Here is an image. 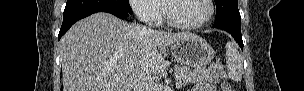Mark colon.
I'll use <instances>...</instances> for the list:
<instances>
[{
	"label": "colon",
	"mask_w": 304,
	"mask_h": 91,
	"mask_svg": "<svg viewBox=\"0 0 304 91\" xmlns=\"http://www.w3.org/2000/svg\"><path fill=\"white\" fill-rule=\"evenodd\" d=\"M223 91H232V88L229 84L225 83L222 88Z\"/></svg>",
	"instance_id": "1"
}]
</instances>
